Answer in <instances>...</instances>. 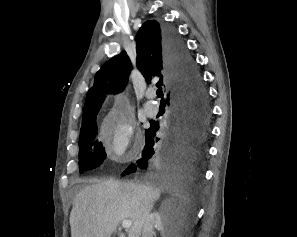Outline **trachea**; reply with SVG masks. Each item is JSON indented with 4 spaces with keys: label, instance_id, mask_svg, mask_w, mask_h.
Instances as JSON below:
<instances>
[{
    "label": "trachea",
    "instance_id": "3493384b",
    "mask_svg": "<svg viewBox=\"0 0 297 237\" xmlns=\"http://www.w3.org/2000/svg\"><path fill=\"white\" fill-rule=\"evenodd\" d=\"M156 94H157V97L161 98V100L163 101V91H162V88L159 87L156 91Z\"/></svg>",
    "mask_w": 297,
    "mask_h": 237
}]
</instances>
